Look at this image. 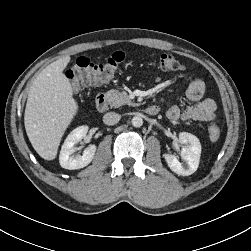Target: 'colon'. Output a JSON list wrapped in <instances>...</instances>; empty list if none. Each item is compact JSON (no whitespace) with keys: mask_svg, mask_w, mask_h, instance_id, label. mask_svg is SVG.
<instances>
[{"mask_svg":"<svg viewBox=\"0 0 251 251\" xmlns=\"http://www.w3.org/2000/svg\"><path fill=\"white\" fill-rule=\"evenodd\" d=\"M125 59L121 51L113 53L105 62L96 63L88 57H79L76 63L67 72L66 76L70 81L74 92L77 94L90 86L108 82L117 72L119 66ZM158 67L164 71L181 70L182 65L170 53H163L158 56ZM208 135L211 141L219 139L220 129L216 123L210 124Z\"/></svg>","mask_w":251,"mask_h":251,"instance_id":"5ec220e1","label":"colon"}]
</instances>
